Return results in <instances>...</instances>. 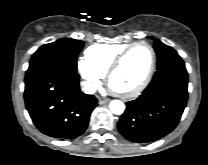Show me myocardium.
Masks as SVG:
<instances>
[{"mask_svg": "<svg viewBox=\"0 0 208 165\" xmlns=\"http://www.w3.org/2000/svg\"><path fill=\"white\" fill-rule=\"evenodd\" d=\"M138 46H146L151 52V62L145 77L143 78L140 84L129 90H120L115 88L112 85V78L114 74L121 67L122 63L124 62L125 58L129 55V53ZM156 61H157V57H156L155 49L149 43L141 41L130 44L116 56V58L113 60L110 67L108 68V71L106 73V81L109 89L115 95L123 98H132L139 95L149 85L155 71Z\"/></svg>", "mask_w": 208, "mask_h": 165, "instance_id": "1", "label": "myocardium"}]
</instances>
